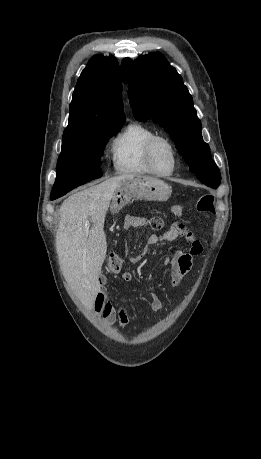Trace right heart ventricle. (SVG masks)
<instances>
[{"label":"right heart ventricle","mask_w":261,"mask_h":459,"mask_svg":"<svg viewBox=\"0 0 261 459\" xmlns=\"http://www.w3.org/2000/svg\"><path fill=\"white\" fill-rule=\"evenodd\" d=\"M155 135L154 129L142 123H131L126 126L111 144L116 171L120 174L152 173L146 163L145 148Z\"/></svg>","instance_id":"1"}]
</instances>
